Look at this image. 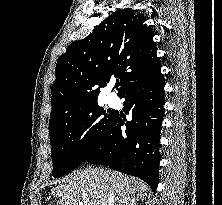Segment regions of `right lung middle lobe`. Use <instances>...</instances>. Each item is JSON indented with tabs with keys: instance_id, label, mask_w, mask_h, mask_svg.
<instances>
[{
	"instance_id": "right-lung-middle-lobe-1",
	"label": "right lung middle lobe",
	"mask_w": 222,
	"mask_h": 205,
	"mask_svg": "<svg viewBox=\"0 0 222 205\" xmlns=\"http://www.w3.org/2000/svg\"><path fill=\"white\" fill-rule=\"evenodd\" d=\"M114 118V112L94 104L49 124L52 176L59 178L77 168Z\"/></svg>"
}]
</instances>
